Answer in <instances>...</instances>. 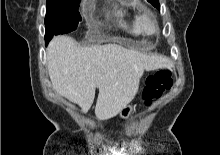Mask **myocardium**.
Listing matches in <instances>:
<instances>
[{
    "instance_id": "obj_1",
    "label": "myocardium",
    "mask_w": 220,
    "mask_h": 155,
    "mask_svg": "<svg viewBox=\"0 0 220 155\" xmlns=\"http://www.w3.org/2000/svg\"><path fill=\"white\" fill-rule=\"evenodd\" d=\"M149 19L153 22L154 31L149 33L144 28V22ZM136 26L138 31L145 36H152L159 32V24L155 16L150 11H143L136 15Z\"/></svg>"
}]
</instances>
